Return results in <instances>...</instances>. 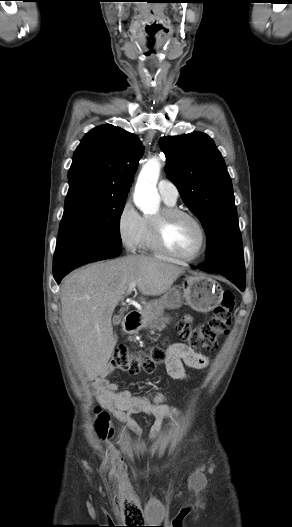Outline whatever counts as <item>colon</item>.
<instances>
[{"label":"colon","mask_w":292,"mask_h":527,"mask_svg":"<svg viewBox=\"0 0 292 527\" xmlns=\"http://www.w3.org/2000/svg\"><path fill=\"white\" fill-rule=\"evenodd\" d=\"M235 306V296L233 292L226 290L220 304L214 309L210 320L203 325L193 327L183 321L176 325V332L179 336L195 351L213 350L217 347V341L220 336L229 332L231 325L232 311ZM165 359V353L162 347L156 346L146 352L133 353L125 347L116 349L112 357V365L122 371L130 374L139 372H152L157 365ZM98 430L101 438H110L114 430L109 425V416L106 412L98 410ZM131 508L140 514L137 506Z\"/></svg>","instance_id":"obj_1"}]
</instances>
